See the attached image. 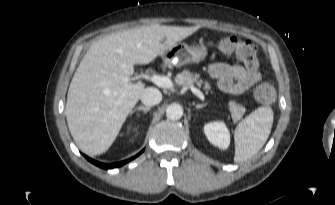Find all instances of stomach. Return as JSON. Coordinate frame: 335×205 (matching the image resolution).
<instances>
[{"mask_svg":"<svg viewBox=\"0 0 335 205\" xmlns=\"http://www.w3.org/2000/svg\"><path fill=\"white\" fill-rule=\"evenodd\" d=\"M207 47L199 45L191 47L185 43H177L163 54L162 58L173 65L182 66L188 63H198L207 56Z\"/></svg>","mask_w":335,"mask_h":205,"instance_id":"1","label":"stomach"}]
</instances>
